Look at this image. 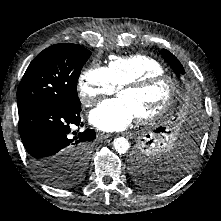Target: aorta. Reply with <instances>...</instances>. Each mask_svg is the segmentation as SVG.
Here are the masks:
<instances>
[{"instance_id": "762f6f07", "label": "aorta", "mask_w": 221, "mask_h": 221, "mask_svg": "<svg viewBox=\"0 0 221 221\" xmlns=\"http://www.w3.org/2000/svg\"><path fill=\"white\" fill-rule=\"evenodd\" d=\"M113 146L115 151L119 154H124L130 149V143L124 137L115 138L113 141Z\"/></svg>"}]
</instances>
